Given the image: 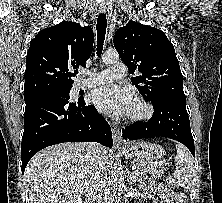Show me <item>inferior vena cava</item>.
<instances>
[{
  "label": "inferior vena cava",
  "mask_w": 222,
  "mask_h": 203,
  "mask_svg": "<svg viewBox=\"0 0 222 203\" xmlns=\"http://www.w3.org/2000/svg\"><path fill=\"white\" fill-rule=\"evenodd\" d=\"M87 151L93 167V172L89 181V192L93 198L100 199L97 191L103 188L107 179V166L100 157L99 145L97 143H88Z\"/></svg>",
  "instance_id": "inferior-vena-cava-1"
}]
</instances>
